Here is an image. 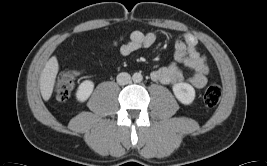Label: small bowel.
<instances>
[{
    "mask_svg": "<svg viewBox=\"0 0 267 166\" xmlns=\"http://www.w3.org/2000/svg\"><path fill=\"white\" fill-rule=\"evenodd\" d=\"M157 40L154 32L133 31L129 40L120 46V53L128 56L141 48H149ZM175 51L173 61L165 67L159 68L151 73L153 80L162 84H176L188 81L195 88H202L207 81L208 64L206 58L197 48V40L192 34H184L174 40ZM178 64H183L193 71L192 75L186 77ZM75 77L76 71L70 72Z\"/></svg>",
    "mask_w": 267,
    "mask_h": 166,
    "instance_id": "1",
    "label": "small bowel"
}]
</instances>
